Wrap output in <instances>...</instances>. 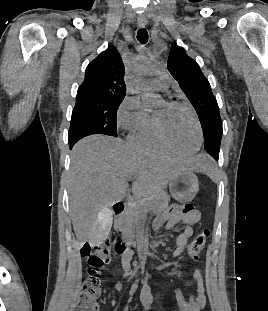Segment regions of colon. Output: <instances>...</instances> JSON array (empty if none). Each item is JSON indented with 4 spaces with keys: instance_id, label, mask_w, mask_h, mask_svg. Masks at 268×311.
I'll list each match as a JSON object with an SVG mask.
<instances>
[{
    "instance_id": "colon-1",
    "label": "colon",
    "mask_w": 268,
    "mask_h": 311,
    "mask_svg": "<svg viewBox=\"0 0 268 311\" xmlns=\"http://www.w3.org/2000/svg\"><path fill=\"white\" fill-rule=\"evenodd\" d=\"M209 230L199 232L188 246V256L198 260L209 238ZM119 252V251H117ZM81 255L87 262V274L79 290L78 304L72 311H98L97 297L101 291L100 271L110 261L111 247L108 241L102 246H91L86 243L81 249Z\"/></svg>"
}]
</instances>
